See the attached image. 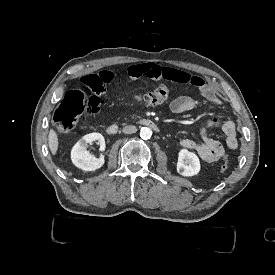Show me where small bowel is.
Here are the masks:
<instances>
[{"mask_svg": "<svg viewBox=\"0 0 275 275\" xmlns=\"http://www.w3.org/2000/svg\"><path fill=\"white\" fill-rule=\"evenodd\" d=\"M130 75L133 78L147 77L191 84L186 72L172 67H160L152 63L132 66L130 68ZM99 76L106 86H111L115 82V77L110 69H103ZM192 83L191 85L199 90L200 97H176L170 103V110L173 113L181 114L194 110L201 105L208 108L222 105V101L216 96L210 84L198 77L193 78ZM213 128H215V124L212 122L204 124L200 129L201 142L184 138L180 140V145L186 149L194 150L203 161L208 163L227 159L228 151H233L238 147L236 125L231 120L224 121L221 124L220 128L224 134V145L211 137L210 132Z\"/></svg>", "mask_w": 275, "mask_h": 275, "instance_id": "small-bowel-1", "label": "small bowel"}]
</instances>
